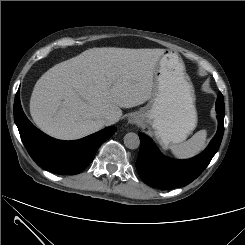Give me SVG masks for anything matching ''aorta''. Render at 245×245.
I'll return each mask as SVG.
<instances>
[{
  "label": "aorta",
  "instance_id": "762f6f07",
  "mask_svg": "<svg viewBox=\"0 0 245 245\" xmlns=\"http://www.w3.org/2000/svg\"><path fill=\"white\" fill-rule=\"evenodd\" d=\"M124 144L129 149H137L140 145L139 136L133 132L127 133L124 136Z\"/></svg>",
  "mask_w": 245,
  "mask_h": 245
}]
</instances>
